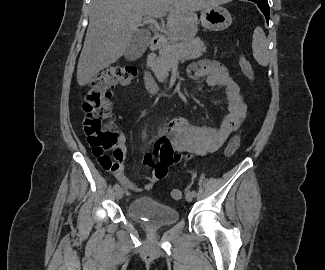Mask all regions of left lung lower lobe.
<instances>
[{
  "instance_id": "0a47b994",
  "label": "left lung lower lobe",
  "mask_w": 325,
  "mask_h": 270,
  "mask_svg": "<svg viewBox=\"0 0 325 270\" xmlns=\"http://www.w3.org/2000/svg\"><path fill=\"white\" fill-rule=\"evenodd\" d=\"M250 1L255 2L258 5L260 10L266 17V21L268 23L269 22V5H268L267 0H250Z\"/></svg>"
}]
</instances>
